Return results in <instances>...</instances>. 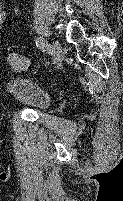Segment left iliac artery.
<instances>
[{
    "instance_id": "1",
    "label": "left iliac artery",
    "mask_w": 123,
    "mask_h": 201,
    "mask_svg": "<svg viewBox=\"0 0 123 201\" xmlns=\"http://www.w3.org/2000/svg\"><path fill=\"white\" fill-rule=\"evenodd\" d=\"M37 47H39L43 51H47L49 49V44L44 38H38L36 41Z\"/></svg>"
}]
</instances>
